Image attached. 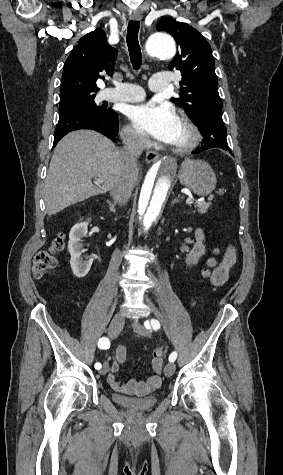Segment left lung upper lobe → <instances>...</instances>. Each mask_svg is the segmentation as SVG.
Segmentation results:
<instances>
[{
	"label": "left lung upper lobe",
	"mask_w": 283,
	"mask_h": 475,
	"mask_svg": "<svg viewBox=\"0 0 283 475\" xmlns=\"http://www.w3.org/2000/svg\"><path fill=\"white\" fill-rule=\"evenodd\" d=\"M157 30L171 34L179 47L168 68L181 72V97L171 101L184 108L194 123L201 119L205 110L222 109L214 58L207 40L190 25L170 17L162 18L157 23Z\"/></svg>",
	"instance_id": "obj_1"
}]
</instances>
